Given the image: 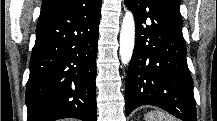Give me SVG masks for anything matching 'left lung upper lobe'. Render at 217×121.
<instances>
[{
    "mask_svg": "<svg viewBox=\"0 0 217 121\" xmlns=\"http://www.w3.org/2000/svg\"><path fill=\"white\" fill-rule=\"evenodd\" d=\"M178 4H180V0H175Z\"/></svg>",
    "mask_w": 217,
    "mask_h": 121,
    "instance_id": "left-lung-upper-lobe-1",
    "label": "left lung upper lobe"
}]
</instances>
